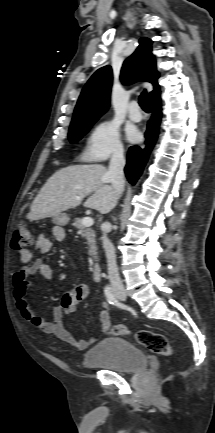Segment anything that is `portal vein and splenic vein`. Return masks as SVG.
Listing matches in <instances>:
<instances>
[{
	"label": "portal vein and splenic vein",
	"mask_w": 215,
	"mask_h": 433,
	"mask_svg": "<svg viewBox=\"0 0 215 433\" xmlns=\"http://www.w3.org/2000/svg\"><path fill=\"white\" fill-rule=\"evenodd\" d=\"M82 224H83L85 227H90V226H92V225L94 224V220H93V218H91V217H85V218H83V220H82Z\"/></svg>",
	"instance_id": "1"
}]
</instances>
